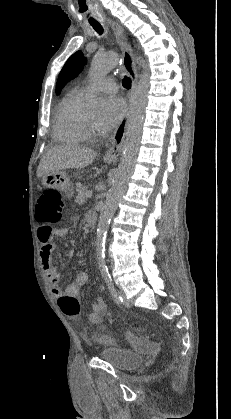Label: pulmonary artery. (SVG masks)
<instances>
[{
  "label": "pulmonary artery",
  "mask_w": 231,
  "mask_h": 419,
  "mask_svg": "<svg viewBox=\"0 0 231 419\" xmlns=\"http://www.w3.org/2000/svg\"><path fill=\"white\" fill-rule=\"evenodd\" d=\"M94 88L106 93H115L117 91V83L113 77H106L96 83Z\"/></svg>",
  "instance_id": "obj_1"
}]
</instances>
